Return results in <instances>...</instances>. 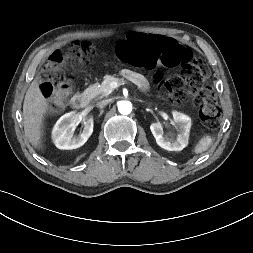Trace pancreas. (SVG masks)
I'll list each match as a JSON object with an SVG mask.
<instances>
[{"label":"pancreas","instance_id":"cf45deb5","mask_svg":"<svg viewBox=\"0 0 253 253\" xmlns=\"http://www.w3.org/2000/svg\"><path fill=\"white\" fill-rule=\"evenodd\" d=\"M120 80L121 79L115 76L106 75L101 84L95 83L91 85L86 89L85 93L93 99H101L105 96H108L114 90L111 88L110 84L112 82H120Z\"/></svg>","mask_w":253,"mask_h":253}]
</instances>
